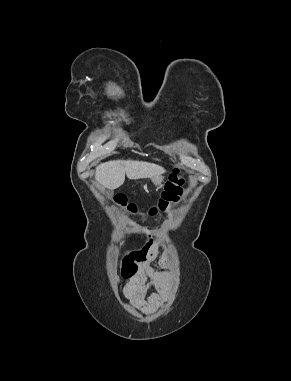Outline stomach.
<instances>
[{
	"label": "stomach",
	"mask_w": 291,
	"mask_h": 381,
	"mask_svg": "<svg viewBox=\"0 0 291 381\" xmlns=\"http://www.w3.org/2000/svg\"><path fill=\"white\" fill-rule=\"evenodd\" d=\"M152 181H153V183H154L155 185H160L161 182H162V176L152 178Z\"/></svg>",
	"instance_id": "stomach-1"
}]
</instances>
